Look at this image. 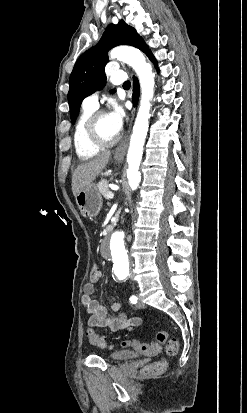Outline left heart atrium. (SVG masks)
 <instances>
[{"mask_svg":"<svg viewBox=\"0 0 247 413\" xmlns=\"http://www.w3.org/2000/svg\"><path fill=\"white\" fill-rule=\"evenodd\" d=\"M105 122L108 127L115 133L116 136L119 135L124 119V112L122 108L116 104L112 103L110 110L105 114Z\"/></svg>","mask_w":247,"mask_h":413,"instance_id":"1","label":"left heart atrium"}]
</instances>
